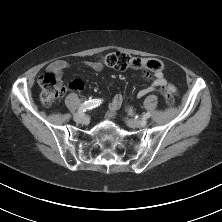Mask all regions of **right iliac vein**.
Listing matches in <instances>:
<instances>
[{"label":"right iliac vein","mask_w":222,"mask_h":222,"mask_svg":"<svg viewBox=\"0 0 222 222\" xmlns=\"http://www.w3.org/2000/svg\"><path fill=\"white\" fill-rule=\"evenodd\" d=\"M73 118L78 123H87L89 121L88 117L83 113H76Z\"/></svg>","instance_id":"obj_1"}]
</instances>
